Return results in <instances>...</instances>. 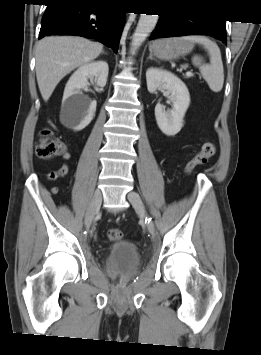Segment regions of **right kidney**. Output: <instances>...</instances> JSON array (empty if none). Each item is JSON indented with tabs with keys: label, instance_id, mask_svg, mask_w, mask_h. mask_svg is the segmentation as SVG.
Listing matches in <instances>:
<instances>
[{
	"label": "right kidney",
	"instance_id": "right-kidney-1",
	"mask_svg": "<svg viewBox=\"0 0 261 355\" xmlns=\"http://www.w3.org/2000/svg\"><path fill=\"white\" fill-rule=\"evenodd\" d=\"M108 64L94 61L80 66L66 84L61 109V121L74 131L83 130L92 121L96 111V101L84 96L81 89L87 88L88 79L104 87L108 77Z\"/></svg>",
	"mask_w": 261,
	"mask_h": 355
}]
</instances>
